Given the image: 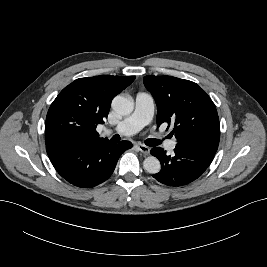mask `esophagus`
Here are the masks:
<instances>
[{"label":"esophagus","mask_w":267,"mask_h":267,"mask_svg":"<svg viewBox=\"0 0 267 267\" xmlns=\"http://www.w3.org/2000/svg\"><path fill=\"white\" fill-rule=\"evenodd\" d=\"M137 147H138L139 151L142 152L144 155H148L150 152L149 147H147L143 144H137Z\"/></svg>","instance_id":"34e87169"}]
</instances>
